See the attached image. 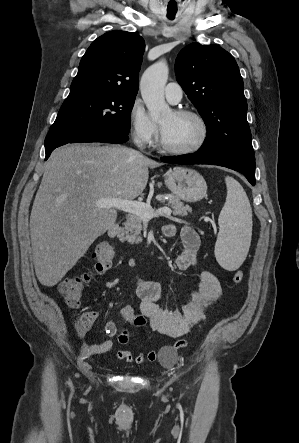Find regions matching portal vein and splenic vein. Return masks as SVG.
Wrapping results in <instances>:
<instances>
[{
	"mask_svg": "<svg viewBox=\"0 0 299 443\" xmlns=\"http://www.w3.org/2000/svg\"><path fill=\"white\" fill-rule=\"evenodd\" d=\"M95 204L97 208H115L129 214L140 216L144 220H150L158 216H170L172 213L168 207L154 210L150 204L121 198H101L98 199Z\"/></svg>",
	"mask_w": 299,
	"mask_h": 443,
	"instance_id": "obj_1",
	"label": "portal vein and splenic vein"
}]
</instances>
